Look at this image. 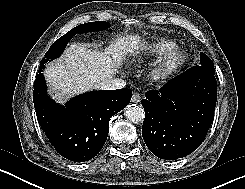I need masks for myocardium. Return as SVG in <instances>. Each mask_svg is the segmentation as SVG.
Returning a JSON list of instances; mask_svg holds the SVG:
<instances>
[{
	"label": "myocardium",
	"instance_id": "f54148a6",
	"mask_svg": "<svg viewBox=\"0 0 245 189\" xmlns=\"http://www.w3.org/2000/svg\"><path fill=\"white\" fill-rule=\"evenodd\" d=\"M188 55L180 48H172L167 51L159 60L151 72V79L156 83L168 80L179 72L187 63Z\"/></svg>",
	"mask_w": 245,
	"mask_h": 189
}]
</instances>
